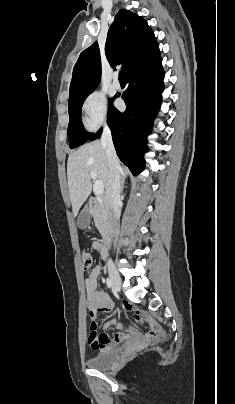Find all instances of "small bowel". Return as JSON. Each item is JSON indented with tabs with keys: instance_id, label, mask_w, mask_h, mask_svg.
Wrapping results in <instances>:
<instances>
[{
	"instance_id": "1",
	"label": "small bowel",
	"mask_w": 235,
	"mask_h": 404,
	"mask_svg": "<svg viewBox=\"0 0 235 404\" xmlns=\"http://www.w3.org/2000/svg\"><path fill=\"white\" fill-rule=\"evenodd\" d=\"M93 248L105 256L103 252V245L100 241L93 243ZM101 274V268L99 266L92 269L90 274L85 280V288L87 293V306L90 311V315L96 316L99 312H106L112 309L113 303L108 293L100 291L98 289V279ZM123 308L128 312H134L135 317L138 320H145L143 313L140 310L134 309V307L128 303H123ZM114 326L119 331L110 338L107 334H99L96 331L95 334L90 332L89 341L93 349L100 350L101 348L111 347L113 345L123 342L128 337V332L116 322H108L105 327Z\"/></svg>"
}]
</instances>
